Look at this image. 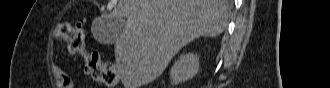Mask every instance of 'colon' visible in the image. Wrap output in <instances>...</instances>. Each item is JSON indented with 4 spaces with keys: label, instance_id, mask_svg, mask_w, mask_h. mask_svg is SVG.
<instances>
[{
    "label": "colon",
    "instance_id": "5ec220e1",
    "mask_svg": "<svg viewBox=\"0 0 330 88\" xmlns=\"http://www.w3.org/2000/svg\"><path fill=\"white\" fill-rule=\"evenodd\" d=\"M55 38L68 45L70 51L83 53L85 56V70L95 81L107 87L115 88L118 85L116 65L103 64L96 52L87 51L84 47L81 27H73L67 22L60 23L55 31Z\"/></svg>",
    "mask_w": 330,
    "mask_h": 88
}]
</instances>
